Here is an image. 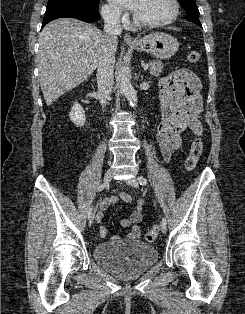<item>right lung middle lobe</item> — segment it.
<instances>
[{
	"mask_svg": "<svg viewBox=\"0 0 245 314\" xmlns=\"http://www.w3.org/2000/svg\"><path fill=\"white\" fill-rule=\"evenodd\" d=\"M59 5H73L98 10L99 0H48L47 7Z\"/></svg>",
	"mask_w": 245,
	"mask_h": 314,
	"instance_id": "1",
	"label": "right lung middle lobe"
}]
</instances>
